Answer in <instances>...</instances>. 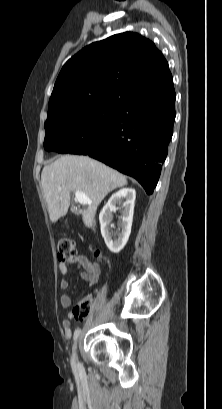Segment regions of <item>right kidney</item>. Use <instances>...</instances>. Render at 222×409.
Wrapping results in <instances>:
<instances>
[{
	"mask_svg": "<svg viewBox=\"0 0 222 409\" xmlns=\"http://www.w3.org/2000/svg\"><path fill=\"white\" fill-rule=\"evenodd\" d=\"M136 192L132 188H123L113 194L103 207L99 215L101 224V234L105 244L113 253H119L126 245L132 227L134 203ZM116 204H122L121 221L118 226L121 231L113 232L110 230V222L113 219V213L118 209Z\"/></svg>",
	"mask_w": 222,
	"mask_h": 409,
	"instance_id": "right-kidney-1",
	"label": "right kidney"
}]
</instances>
